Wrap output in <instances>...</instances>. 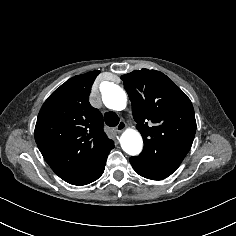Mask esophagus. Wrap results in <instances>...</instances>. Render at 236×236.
Segmentation results:
<instances>
[{"label": "esophagus", "instance_id": "34e87169", "mask_svg": "<svg viewBox=\"0 0 236 236\" xmlns=\"http://www.w3.org/2000/svg\"><path fill=\"white\" fill-rule=\"evenodd\" d=\"M125 128H126V123L122 121L116 126L115 129L117 132H122L125 130Z\"/></svg>", "mask_w": 236, "mask_h": 236}]
</instances>
